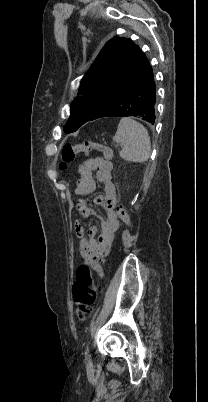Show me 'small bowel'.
Listing matches in <instances>:
<instances>
[{
  "label": "small bowel",
  "instance_id": "obj_1",
  "mask_svg": "<svg viewBox=\"0 0 208 402\" xmlns=\"http://www.w3.org/2000/svg\"><path fill=\"white\" fill-rule=\"evenodd\" d=\"M113 164L103 157H92L80 163L76 172L79 176L76 194V209L83 217H90L94 214L88 206L84 196L95 191L96 181L104 185V196L99 198V204L105 215L100 217L101 231L98 232L95 226L89 228V234L96 236V239H87L80 222L74 223V231L78 238V248L83 257L101 274V262L107 254L116 232L119 229V221L114 210L116 203L115 187L112 182ZM95 172V177L93 176Z\"/></svg>",
  "mask_w": 208,
  "mask_h": 402
}]
</instances>
